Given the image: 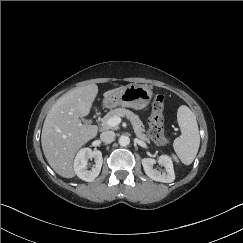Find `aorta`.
Masks as SVG:
<instances>
[{"instance_id": "aorta-1", "label": "aorta", "mask_w": 243, "mask_h": 243, "mask_svg": "<svg viewBox=\"0 0 243 243\" xmlns=\"http://www.w3.org/2000/svg\"><path fill=\"white\" fill-rule=\"evenodd\" d=\"M118 141H119L120 146L125 147V146L129 145L130 138L126 135H122V136L119 137Z\"/></svg>"}]
</instances>
